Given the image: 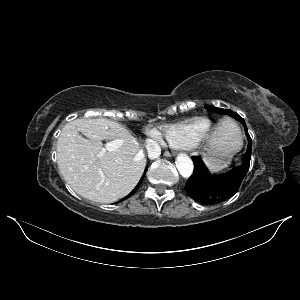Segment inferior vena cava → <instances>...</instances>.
Masks as SVG:
<instances>
[{"label": "inferior vena cava", "instance_id": "1", "mask_svg": "<svg viewBox=\"0 0 300 300\" xmlns=\"http://www.w3.org/2000/svg\"><path fill=\"white\" fill-rule=\"evenodd\" d=\"M147 152L151 159H155L160 156L161 149L160 146L155 142H149L146 146ZM143 153H141L142 155Z\"/></svg>", "mask_w": 300, "mask_h": 300}]
</instances>
